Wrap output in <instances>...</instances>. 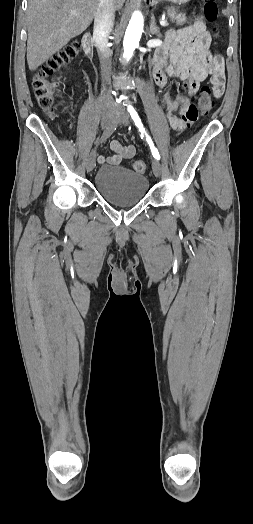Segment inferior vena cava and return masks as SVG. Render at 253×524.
<instances>
[{"label":"inferior vena cava","instance_id":"inferior-vena-cava-1","mask_svg":"<svg viewBox=\"0 0 253 524\" xmlns=\"http://www.w3.org/2000/svg\"><path fill=\"white\" fill-rule=\"evenodd\" d=\"M115 8L113 0H99L94 19L93 38L97 43L103 81H110L112 51L108 47V36L114 25ZM105 104L113 106L111 90L105 92Z\"/></svg>","mask_w":253,"mask_h":524}]
</instances>
